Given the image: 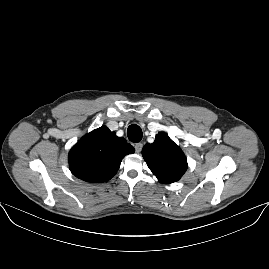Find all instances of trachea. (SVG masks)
Wrapping results in <instances>:
<instances>
[{"instance_id": "3493384b", "label": "trachea", "mask_w": 269, "mask_h": 269, "mask_svg": "<svg viewBox=\"0 0 269 269\" xmlns=\"http://www.w3.org/2000/svg\"><path fill=\"white\" fill-rule=\"evenodd\" d=\"M127 135L128 139L133 143L140 142L143 137L141 128L136 124H132L128 127Z\"/></svg>"}]
</instances>
